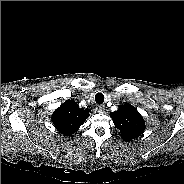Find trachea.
Instances as JSON below:
<instances>
[{"label":"trachea","instance_id":"trachea-1","mask_svg":"<svg viewBox=\"0 0 184 184\" xmlns=\"http://www.w3.org/2000/svg\"><path fill=\"white\" fill-rule=\"evenodd\" d=\"M95 101L97 104H102L104 102V95L102 93H97L95 95Z\"/></svg>","mask_w":184,"mask_h":184}]
</instances>
